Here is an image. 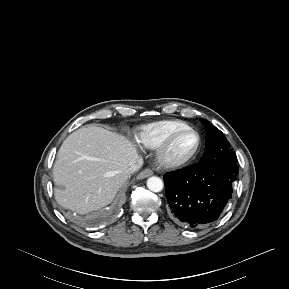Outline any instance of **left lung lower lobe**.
Returning a JSON list of instances; mask_svg holds the SVG:
<instances>
[{
  "mask_svg": "<svg viewBox=\"0 0 289 289\" xmlns=\"http://www.w3.org/2000/svg\"><path fill=\"white\" fill-rule=\"evenodd\" d=\"M239 172L236 164L192 166L164 175L165 195L172 216L191 227L217 220L232 198Z\"/></svg>",
  "mask_w": 289,
  "mask_h": 289,
  "instance_id": "0a47b994",
  "label": "left lung lower lobe"
}]
</instances>
